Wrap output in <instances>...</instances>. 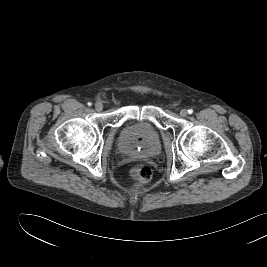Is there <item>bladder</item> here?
Instances as JSON below:
<instances>
[{
    "label": "bladder",
    "instance_id": "obj_1",
    "mask_svg": "<svg viewBox=\"0 0 267 267\" xmlns=\"http://www.w3.org/2000/svg\"><path fill=\"white\" fill-rule=\"evenodd\" d=\"M118 149L129 156L157 157L162 150L159 131L147 120L129 121L119 132Z\"/></svg>",
    "mask_w": 267,
    "mask_h": 267
}]
</instances>
